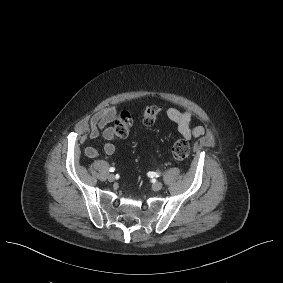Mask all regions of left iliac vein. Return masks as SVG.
<instances>
[{
  "label": "left iliac vein",
  "mask_w": 283,
  "mask_h": 283,
  "mask_svg": "<svg viewBox=\"0 0 283 283\" xmlns=\"http://www.w3.org/2000/svg\"><path fill=\"white\" fill-rule=\"evenodd\" d=\"M162 187H163V184L161 182H155L153 184V190H155V191L161 190Z\"/></svg>",
  "instance_id": "left-iliac-vein-1"
}]
</instances>
